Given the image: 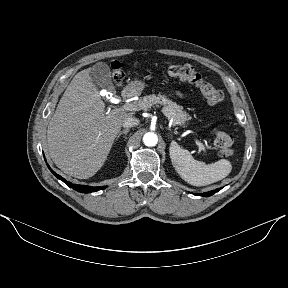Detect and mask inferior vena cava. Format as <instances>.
<instances>
[{"label":"inferior vena cava","mask_w":288,"mask_h":288,"mask_svg":"<svg viewBox=\"0 0 288 288\" xmlns=\"http://www.w3.org/2000/svg\"><path fill=\"white\" fill-rule=\"evenodd\" d=\"M139 119L135 118V117H128L124 122H123V127L124 128H130V127H134L137 126L139 124Z\"/></svg>","instance_id":"obj_1"}]
</instances>
